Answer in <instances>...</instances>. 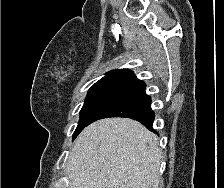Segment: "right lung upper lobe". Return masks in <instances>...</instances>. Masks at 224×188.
<instances>
[{
    "label": "right lung upper lobe",
    "instance_id": "1",
    "mask_svg": "<svg viewBox=\"0 0 224 188\" xmlns=\"http://www.w3.org/2000/svg\"><path fill=\"white\" fill-rule=\"evenodd\" d=\"M136 79L133 72L129 69H120L108 72L101 80H128L132 81Z\"/></svg>",
    "mask_w": 224,
    "mask_h": 188
}]
</instances>
